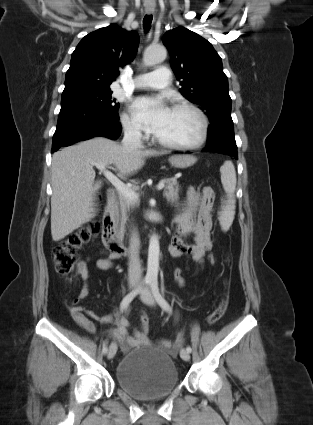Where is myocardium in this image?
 I'll return each instance as SVG.
<instances>
[{"label": "myocardium", "instance_id": "obj_1", "mask_svg": "<svg viewBox=\"0 0 313 425\" xmlns=\"http://www.w3.org/2000/svg\"><path fill=\"white\" fill-rule=\"evenodd\" d=\"M173 110H188L190 112H193L200 120L201 124V131L198 139L190 144H177V143H171L164 141L157 136L154 137L155 141L169 149L173 150H182V151H190L200 148L207 140L208 134H209V121L206 116V114L196 105L189 103V102H178L172 106Z\"/></svg>", "mask_w": 313, "mask_h": 425}]
</instances>
